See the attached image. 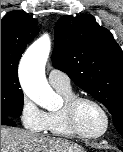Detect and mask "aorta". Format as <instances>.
Returning a JSON list of instances; mask_svg holds the SVG:
<instances>
[{
	"label": "aorta",
	"instance_id": "obj_1",
	"mask_svg": "<svg viewBox=\"0 0 123 152\" xmlns=\"http://www.w3.org/2000/svg\"><path fill=\"white\" fill-rule=\"evenodd\" d=\"M50 50V38L43 35L29 46L20 62V82L24 93L47 110H53L58 104V96L45 78Z\"/></svg>",
	"mask_w": 123,
	"mask_h": 152
}]
</instances>
